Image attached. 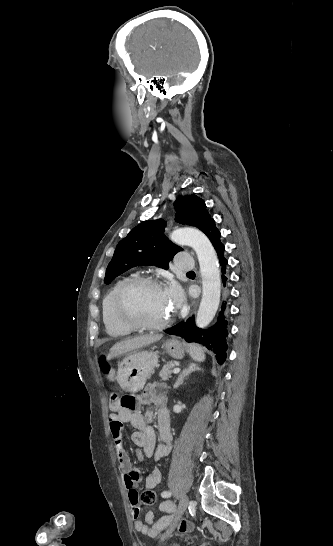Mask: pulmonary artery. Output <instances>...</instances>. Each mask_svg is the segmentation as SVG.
I'll return each mask as SVG.
<instances>
[{"label":"pulmonary artery","mask_w":333,"mask_h":546,"mask_svg":"<svg viewBox=\"0 0 333 546\" xmlns=\"http://www.w3.org/2000/svg\"><path fill=\"white\" fill-rule=\"evenodd\" d=\"M175 264L176 266L184 271L191 270L193 268V260L192 258L184 253H180L175 258Z\"/></svg>","instance_id":"pulmonary-artery-1"}]
</instances>
